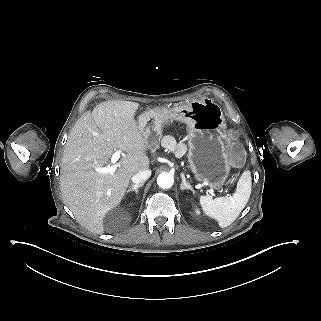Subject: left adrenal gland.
Returning <instances> with one entry per match:
<instances>
[{
    "instance_id": "1",
    "label": "left adrenal gland",
    "mask_w": 321,
    "mask_h": 321,
    "mask_svg": "<svg viewBox=\"0 0 321 321\" xmlns=\"http://www.w3.org/2000/svg\"><path fill=\"white\" fill-rule=\"evenodd\" d=\"M181 179H182V183H181V185H180L181 190H186V189H188V190H191L193 193H195V191H194V189L192 188V186L190 185V183H188V182L186 181V178H185V176H184L183 173H181Z\"/></svg>"
}]
</instances>
